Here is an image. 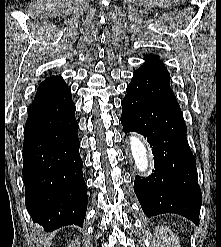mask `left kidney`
I'll return each mask as SVG.
<instances>
[{"label": "left kidney", "instance_id": "left-kidney-1", "mask_svg": "<svg viewBox=\"0 0 221 247\" xmlns=\"http://www.w3.org/2000/svg\"><path fill=\"white\" fill-rule=\"evenodd\" d=\"M154 235L160 247H181L178 238L166 226H156Z\"/></svg>", "mask_w": 221, "mask_h": 247}]
</instances>
